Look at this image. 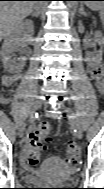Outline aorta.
Wrapping results in <instances>:
<instances>
[{"instance_id":"aorta-1","label":"aorta","mask_w":104,"mask_h":189,"mask_svg":"<svg viewBox=\"0 0 104 189\" xmlns=\"http://www.w3.org/2000/svg\"><path fill=\"white\" fill-rule=\"evenodd\" d=\"M77 2L76 1H67V6L69 9L75 8Z\"/></svg>"}]
</instances>
